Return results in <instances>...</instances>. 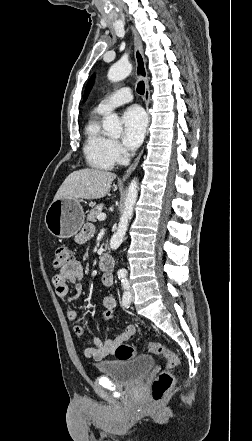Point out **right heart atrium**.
Listing matches in <instances>:
<instances>
[{"label": "right heart atrium", "instance_id": "right-heart-atrium-1", "mask_svg": "<svg viewBox=\"0 0 252 441\" xmlns=\"http://www.w3.org/2000/svg\"><path fill=\"white\" fill-rule=\"evenodd\" d=\"M111 151L117 162H121L126 157V150L117 140H111Z\"/></svg>", "mask_w": 252, "mask_h": 441}]
</instances>
